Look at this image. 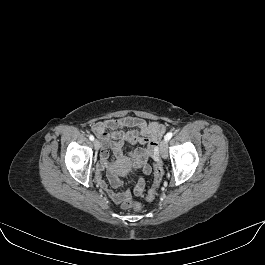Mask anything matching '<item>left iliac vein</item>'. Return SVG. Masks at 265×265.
<instances>
[{
	"instance_id": "obj_1",
	"label": "left iliac vein",
	"mask_w": 265,
	"mask_h": 265,
	"mask_svg": "<svg viewBox=\"0 0 265 265\" xmlns=\"http://www.w3.org/2000/svg\"><path fill=\"white\" fill-rule=\"evenodd\" d=\"M159 149H160V154L162 156V158H167L168 156V143L166 140H163L160 145H159Z\"/></svg>"
}]
</instances>
